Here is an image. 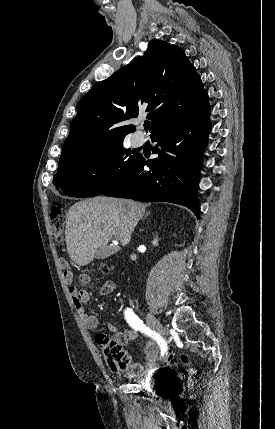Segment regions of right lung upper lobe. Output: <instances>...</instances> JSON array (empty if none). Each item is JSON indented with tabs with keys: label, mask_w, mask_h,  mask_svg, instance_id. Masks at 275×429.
Returning a JSON list of instances; mask_svg holds the SVG:
<instances>
[{
	"label": "right lung upper lobe",
	"mask_w": 275,
	"mask_h": 429,
	"mask_svg": "<svg viewBox=\"0 0 275 429\" xmlns=\"http://www.w3.org/2000/svg\"><path fill=\"white\" fill-rule=\"evenodd\" d=\"M196 68L180 47L152 40L144 56L83 97L59 160V166L124 139L134 131L126 120L147 113L151 135L166 126L196 118L209 109ZM150 135V136H151Z\"/></svg>",
	"instance_id": "obj_1"
}]
</instances>
